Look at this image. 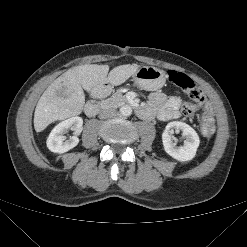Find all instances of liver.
I'll list each match as a JSON object with an SVG mask.
<instances>
[{"instance_id": "6515ba94", "label": "liver", "mask_w": 247, "mask_h": 247, "mask_svg": "<svg viewBox=\"0 0 247 247\" xmlns=\"http://www.w3.org/2000/svg\"><path fill=\"white\" fill-rule=\"evenodd\" d=\"M138 68L136 64H126L109 72L108 65L86 64L69 69L54 80L40 97L34 113L35 131L41 132L52 122L79 115L85 104L83 89L92 91L105 83L121 85Z\"/></svg>"}]
</instances>
